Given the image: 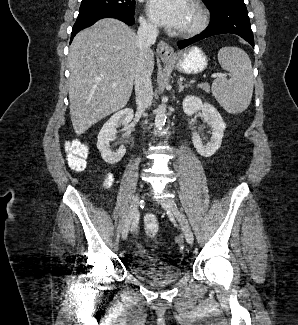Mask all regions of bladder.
<instances>
[{
    "label": "bladder",
    "instance_id": "1",
    "mask_svg": "<svg viewBox=\"0 0 298 325\" xmlns=\"http://www.w3.org/2000/svg\"><path fill=\"white\" fill-rule=\"evenodd\" d=\"M135 276L147 285L160 288L171 285L181 278L180 269L161 265L147 260L142 261L135 269Z\"/></svg>",
    "mask_w": 298,
    "mask_h": 325
}]
</instances>
